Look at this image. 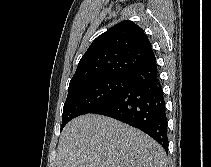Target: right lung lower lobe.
<instances>
[{
  "instance_id": "1",
  "label": "right lung lower lobe",
  "mask_w": 211,
  "mask_h": 167,
  "mask_svg": "<svg viewBox=\"0 0 211 167\" xmlns=\"http://www.w3.org/2000/svg\"><path fill=\"white\" fill-rule=\"evenodd\" d=\"M127 79L129 86L93 113L112 117L142 130L167 152L166 107L156 61L129 74Z\"/></svg>"
}]
</instances>
